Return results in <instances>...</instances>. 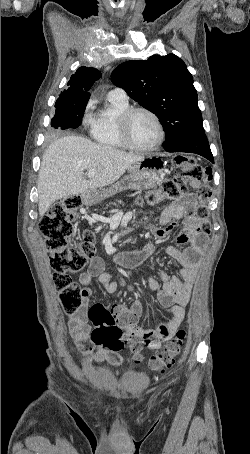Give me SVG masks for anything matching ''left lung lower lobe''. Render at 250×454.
Here are the masks:
<instances>
[{
  "label": "left lung lower lobe",
  "mask_w": 250,
  "mask_h": 454,
  "mask_svg": "<svg viewBox=\"0 0 250 454\" xmlns=\"http://www.w3.org/2000/svg\"><path fill=\"white\" fill-rule=\"evenodd\" d=\"M166 152H189V153H196L199 154L212 163H214V159L210 150V146L207 140L206 135L200 134L194 137L187 139L186 141L171 147L169 149H165Z\"/></svg>",
  "instance_id": "1"
}]
</instances>
